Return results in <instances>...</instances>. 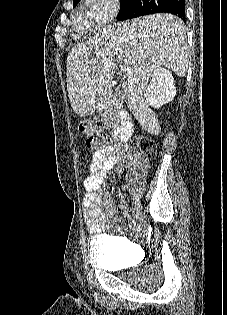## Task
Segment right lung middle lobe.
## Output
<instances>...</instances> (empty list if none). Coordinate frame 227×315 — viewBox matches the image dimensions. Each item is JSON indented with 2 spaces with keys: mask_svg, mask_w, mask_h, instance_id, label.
<instances>
[{
  "mask_svg": "<svg viewBox=\"0 0 227 315\" xmlns=\"http://www.w3.org/2000/svg\"><path fill=\"white\" fill-rule=\"evenodd\" d=\"M80 0L73 1V7H76V5L79 3ZM131 0H120V4L123 2H130Z\"/></svg>",
  "mask_w": 227,
  "mask_h": 315,
  "instance_id": "1",
  "label": "right lung middle lobe"
}]
</instances>
